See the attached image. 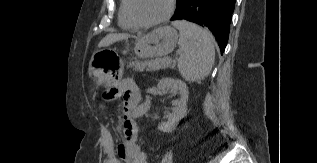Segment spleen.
<instances>
[{
    "label": "spleen",
    "mask_w": 317,
    "mask_h": 163,
    "mask_svg": "<svg viewBox=\"0 0 317 163\" xmlns=\"http://www.w3.org/2000/svg\"><path fill=\"white\" fill-rule=\"evenodd\" d=\"M180 32L178 69L189 82H200L207 77L215 60L212 36L200 26L188 21L172 23Z\"/></svg>",
    "instance_id": "3e777b00"
}]
</instances>
